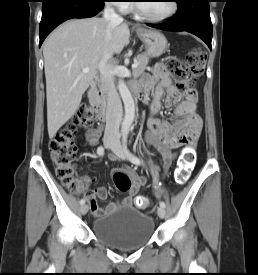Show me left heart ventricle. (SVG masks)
Instances as JSON below:
<instances>
[{
	"label": "left heart ventricle",
	"instance_id": "left-heart-ventricle-1",
	"mask_svg": "<svg viewBox=\"0 0 258 275\" xmlns=\"http://www.w3.org/2000/svg\"><path fill=\"white\" fill-rule=\"evenodd\" d=\"M148 3H140L144 11L154 17H160L170 12L172 8L171 1H144Z\"/></svg>",
	"mask_w": 258,
	"mask_h": 275
}]
</instances>
